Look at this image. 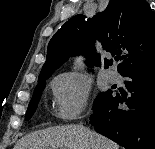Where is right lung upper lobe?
Returning <instances> with one entry per match:
<instances>
[{"label":"right lung upper lobe","mask_w":155,"mask_h":149,"mask_svg":"<svg viewBox=\"0 0 155 149\" xmlns=\"http://www.w3.org/2000/svg\"><path fill=\"white\" fill-rule=\"evenodd\" d=\"M95 39L112 55L125 53L117 68L120 74L134 67L155 65V15L149 4L145 0H112L91 21L77 15L54 34L39 79L50 77L69 56L77 54L86 55L91 67L100 65ZM111 64L112 60H104L105 68Z\"/></svg>","instance_id":"right-lung-upper-lobe-1"}]
</instances>
